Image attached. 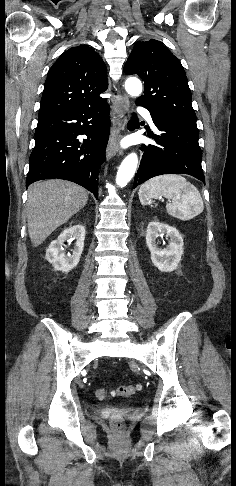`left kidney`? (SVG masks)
<instances>
[{"label":"left kidney","mask_w":236,"mask_h":486,"mask_svg":"<svg viewBox=\"0 0 236 486\" xmlns=\"http://www.w3.org/2000/svg\"><path fill=\"white\" fill-rule=\"evenodd\" d=\"M166 235L169 244L162 249L157 245L158 236ZM146 244L151 253V260L162 272L174 271L183 255V238L179 231L165 223L153 220L148 224L146 230Z\"/></svg>","instance_id":"5707ae66"}]
</instances>
